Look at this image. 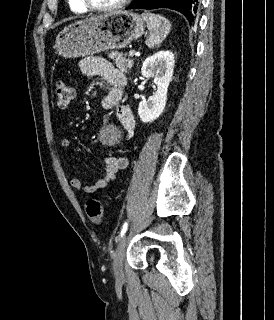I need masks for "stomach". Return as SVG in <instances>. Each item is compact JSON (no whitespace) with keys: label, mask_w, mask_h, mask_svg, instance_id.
I'll return each mask as SVG.
<instances>
[{"label":"stomach","mask_w":274,"mask_h":320,"mask_svg":"<svg viewBox=\"0 0 274 320\" xmlns=\"http://www.w3.org/2000/svg\"><path fill=\"white\" fill-rule=\"evenodd\" d=\"M145 34V22L133 12L92 16L58 34L54 50L62 58H84L105 50H121Z\"/></svg>","instance_id":"stomach-1"}]
</instances>
